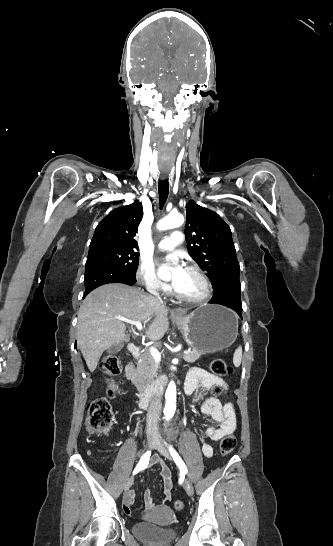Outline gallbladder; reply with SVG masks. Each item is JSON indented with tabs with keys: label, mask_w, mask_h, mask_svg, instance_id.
Returning a JSON list of instances; mask_svg holds the SVG:
<instances>
[{
	"label": "gallbladder",
	"mask_w": 333,
	"mask_h": 546,
	"mask_svg": "<svg viewBox=\"0 0 333 546\" xmlns=\"http://www.w3.org/2000/svg\"><path fill=\"white\" fill-rule=\"evenodd\" d=\"M123 345H124V342H121L119 344H115L112 347H110L109 349H107V353L108 354H116V353L121 351V349L123 348Z\"/></svg>",
	"instance_id": "bac80fb5"
}]
</instances>
